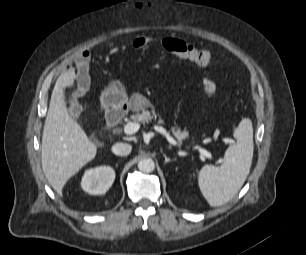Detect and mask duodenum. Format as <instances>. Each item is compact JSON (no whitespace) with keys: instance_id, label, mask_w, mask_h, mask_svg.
Wrapping results in <instances>:
<instances>
[{"instance_id":"duodenum-1","label":"duodenum","mask_w":306,"mask_h":255,"mask_svg":"<svg viewBox=\"0 0 306 255\" xmlns=\"http://www.w3.org/2000/svg\"><path fill=\"white\" fill-rule=\"evenodd\" d=\"M125 111H126L125 106L109 109L106 113L107 123L111 127H116L120 123L123 116L125 115Z\"/></svg>"}]
</instances>
